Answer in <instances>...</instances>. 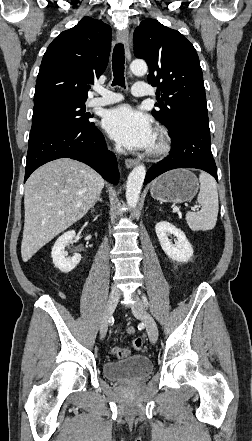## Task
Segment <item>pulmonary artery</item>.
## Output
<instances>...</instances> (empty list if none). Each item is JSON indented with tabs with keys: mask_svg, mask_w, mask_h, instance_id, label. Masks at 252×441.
Listing matches in <instances>:
<instances>
[{
	"mask_svg": "<svg viewBox=\"0 0 252 441\" xmlns=\"http://www.w3.org/2000/svg\"><path fill=\"white\" fill-rule=\"evenodd\" d=\"M96 92L99 94V97H93L89 99L87 102L88 107H101L109 104H114L123 100L122 95L115 92L103 89H96ZM151 93V90L146 84L137 83L134 84L132 87V94L135 97H145L151 95Z\"/></svg>",
	"mask_w": 252,
	"mask_h": 441,
	"instance_id": "1",
	"label": "pulmonary artery"
}]
</instances>
